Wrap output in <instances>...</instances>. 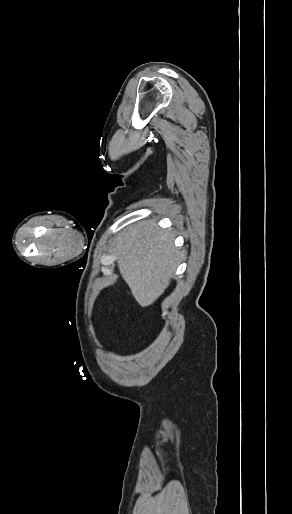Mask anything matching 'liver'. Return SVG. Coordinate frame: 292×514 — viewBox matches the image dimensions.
Masks as SVG:
<instances>
[{"instance_id": "liver-1", "label": "liver", "mask_w": 292, "mask_h": 514, "mask_svg": "<svg viewBox=\"0 0 292 514\" xmlns=\"http://www.w3.org/2000/svg\"><path fill=\"white\" fill-rule=\"evenodd\" d=\"M175 234L155 220L128 226L117 244L119 272L142 308L163 294L178 266Z\"/></svg>"}]
</instances>
